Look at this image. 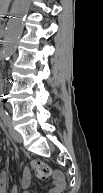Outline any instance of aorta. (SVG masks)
Returning <instances> with one entry per match:
<instances>
[{"instance_id":"obj_1","label":"aorta","mask_w":103,"mask_h":193,"mask_svg":"<svg viewBox=\"0 0 103 193\" xmlns=\"http://www.w3.org/2000/svg\"><path fill=\"white\" fill-rule=\"evenodd\" d=\"M31 0H16L5 33L3 36V56L8 60L16 49V44L22 34L24 22L29 12Z\"/></svg>"}]
</instances>
